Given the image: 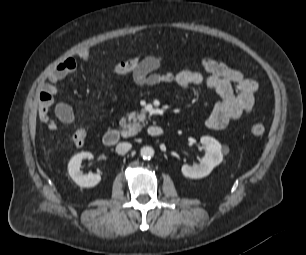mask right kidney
Returning a JSON list of instances; mask_svg holds the SVG:
<instances>
[{
	"label": "right kidney",
	"instance_id": "ca27d5eb",
	"mask_svg": "<svg viewBox=\"0 0 306 255\" xmlns=\"http://www.w3.org/2000/svg\"><path fill=\"white\" fill-rule=\"evenodd\" d=\"M92 159L93 155L89 152H81L74 155L68 163V173L73 181L83 188L94 187L101 181L100 174L88 173L84 174L81 170L83 159Z\"/></svg>",
	"mask_w": 306,
	"mask_h": 255
}]
</instances>
